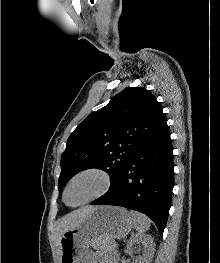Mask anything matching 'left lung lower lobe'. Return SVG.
Wrapping results in <instances>:
<instances>
[{
    "label": "left lung lower lobe",
    "instance_id": "1",
    "mask_svg": "<svg viewBox=\"0 0 220 263\" xmlns=\"http://www.w3.org/2000/svg\"><path fill=\"white\" fill-rule=\"evenodd\" d=\"M173 169V148L165 119L136 147L109 191L91 204L142 212L163 234L171 206Z\"/></svg>",
    "mask_w": 220,
    "mask_h": 263
}]
</instances>
